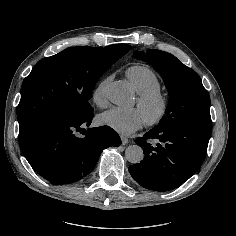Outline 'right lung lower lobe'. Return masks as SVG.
I'll return each mask as SVG.
<instances>
[{"label": "right lung lower lobe", "mask_w": 236, "mask_h": 236, "mask_svg": "<svg viewBox=\"0 0 236 236\" xmlns=\"http://www.w3.org/2000/svg\"><path fill=\"white\" fill-rule=\"evenodd\" d=\"M92 119L93 112L80 118L41 119L20 131L21 151L32 168L48 181L76 182L94 169L105 148L121 144L119 135L109 126L88 128Z\"/></svg>", "instance_id": "obj_1"}]
</instances>
